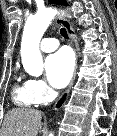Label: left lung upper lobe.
<instances>
[{
  "mask_svg": "<svg viewBox=\"0 0 117 136\" xmlns=\"http://www.w3.org/2000/svg\"><path fill=\"white\" fill-rule=\"evenodd\" d=\"M49 2L54 3V4H58V5H67V3L62 0H49Z\"/></svg>",
  "mask_w": 117,
  "mask_h": 136,
  "instance_id": "5c2ea615",
  "label": "left lung upper lobe"
}]
</instances>
